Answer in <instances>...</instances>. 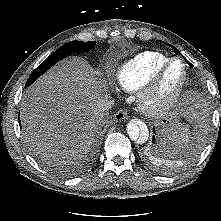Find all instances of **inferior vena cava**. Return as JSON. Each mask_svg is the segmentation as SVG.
<instances>
[{
  "label": "inferior vena cava",
  "mask_w": 221,
  "mask_h": 221,
  "mask_svg": "<svg viewBox=\"0 0 221 221\" xmlns=\"http://www.w3.org/2000/svg\"><path fill=\"white\" fill-rule=\"evenodd\" d=\"M114 106V100L112 97L105 95L102 100L98 103V111L103 117V113L110 110Z\"/></svg>",
  "instance_id": "inferior-vena-cava-1"
}]
</instances>
